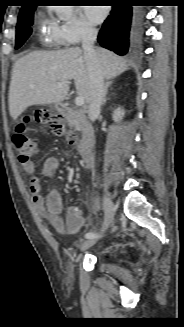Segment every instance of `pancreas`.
<instances>
[{
  "mask_svg": "<svg viewBox=\"0 0 184 327\" xmlns=\"http://www.w3.org/2000/svg\"><path fill=\"white\" fill-rule=\"evenodd\" d=\"M69 126L70 127H76V129H78L79 128V125H78V122L76 121V120H73V119H69Z\"/></svg>",
  "mask_w": 184,
  "mask_h": 327,
  "instance_id": "1",
  "label": "pancreas"
}]
</instances>
